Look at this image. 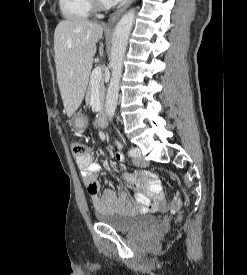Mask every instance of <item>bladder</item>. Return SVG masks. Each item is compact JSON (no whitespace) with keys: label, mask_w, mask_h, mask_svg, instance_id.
I'll use <instances>...</instances> for the list:
<instances>
[{"label":"bladder","mask_w":247,"mask_h":275,"mask_svg":"<svg viewBox=\"0 0 247 275\" xmlns=\"http://www.w3.org/2000/svg\"><path fill=\"white\" fill-rule=\"evenodd\" d=\"M95 218L100 224L108 225L117 231L128 233L137 228L150 226L158 220L157 216L143 215L135 212L132 214H110L101 211L95 212Z\"/></svg>","instance_id":"bladder-1"}]
</instances>
